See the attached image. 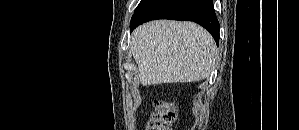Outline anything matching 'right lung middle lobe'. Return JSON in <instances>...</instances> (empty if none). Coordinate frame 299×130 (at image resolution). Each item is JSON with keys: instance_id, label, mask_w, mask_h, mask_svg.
<instances>
[{"instance_id": "right-lung-middle-lobe-1", "label": "right lung middle lobe", "mask_w": 299, "mask_h": 130, "mask_svg": "<svg viewBox=\"0 0 299 130\" xmlns=\"http://www.w3.org/2000/svg\"><path fill=\"white\" fill-rule=\"evenodd\" d=\"M148 2V0H141V2L139 3V5L137 6L134 14L146 3Z\"/></svg>"}]
</instances>
